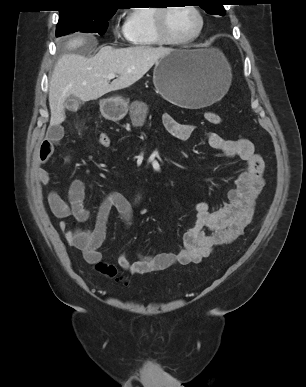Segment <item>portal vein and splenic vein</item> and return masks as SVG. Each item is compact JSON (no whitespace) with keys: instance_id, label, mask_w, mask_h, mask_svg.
Returning a JSON list of instances; mask_svg holds the SVG:
<instances>
[{"instance_id":"18ae733b","label":"portal vein and splenic vein","mask_w":306,"mask_h":387,"mask_svg":"<svg viewBox=\"0 0 306 387\" xmlns=\"http://www.w3.org/2000/svg\"><path fill=\"white\" fill-rule=\"evenodd\" d=\"M115 77H116V74H113V73L107 75V79H113Z\"/></svg>"}]
</instances>
